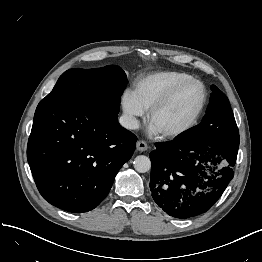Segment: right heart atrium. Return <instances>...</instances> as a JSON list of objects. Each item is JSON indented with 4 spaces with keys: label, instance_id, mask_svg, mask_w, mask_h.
I'll return each instance as SVG.
<instances>
[{
    "label": "right heart atrium",
    "instance_id": "right-heart-atrium-1",
    "mask_svg": "<svg viewBox=\"0 0 262 262\" xmlns=\"http://www.w3.org/2000/svg\"><path fill=\"white\" fill-rule=\"evenodd\" d=\"M121 107L126 119V126L130 129L138 125V119L145 113V109L138 103L134 94L126 90L121 97Z\"/></svg>",
    "mask_w": 262,
    "mask_h": 262
}]
</instances>
